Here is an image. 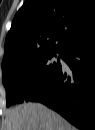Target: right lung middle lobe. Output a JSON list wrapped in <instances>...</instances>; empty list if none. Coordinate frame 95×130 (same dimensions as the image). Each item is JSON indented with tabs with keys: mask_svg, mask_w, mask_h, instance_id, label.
Returning a JSON list of instances; mask_svg holds the SVG:
<instances>
[{
	"mask_svg": "<svg viewBox=\"0 0 95 130\" xmlns=\"http://www.w3.org/2000/svg\"><path fill=\"white\" fill-rule=\"evenodd\" d=\"M53 54L49 55L51 58ZM59 64L48 62V57L3 72L7 91V106L31 100L52 79Z\"/></svg>",
	"mask_w": 95,
	"mask_h": 130,
	"instance_id": "dd1d6c3e",
	"label": "right lung middle lobe"
}]
</instances>
